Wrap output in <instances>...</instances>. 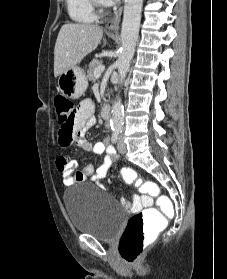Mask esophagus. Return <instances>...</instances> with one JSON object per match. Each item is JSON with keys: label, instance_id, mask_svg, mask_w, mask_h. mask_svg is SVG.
I'll return each mask as SVG.
<instances>
[{"label": "esophagus", "instance_id": "34e87169", "mask_svg": "<svg viewBox=\"0 0 227 279\" xmlns=\"http://www.w3.org/2000/svg\"><path fill=\"white\" fill-rule=\"evenodd\" d=\"M123 6L120 4L114 16L106 24V32L117 33L121 21Z\"/></svg>", "mask_w": 227, "mask_h": 279}]
</instances>
